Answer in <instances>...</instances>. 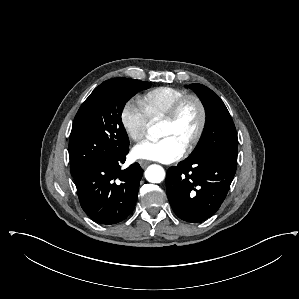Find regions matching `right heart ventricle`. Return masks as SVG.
I'll list each match as a JSON object with an SVG mask.
<instances>
[{
	"label": "right heart ventricle",
	"instance_id": "1",
	"mask_svg": "<svg viewBox=\"0 0 299 299\" xmlns=\"http://www.w3.org/2000/svg\"><path fill=\"white\" fill-rule=\"evenodd\" d=\"M185 94L187 93L183 89L161 86L145 93L139 102L149 120H161L169 112L172 105Z\"/></svg>",
	"mask_w": 299,
	"mask_h": 299
}]
</instances>
